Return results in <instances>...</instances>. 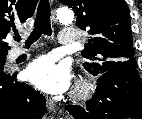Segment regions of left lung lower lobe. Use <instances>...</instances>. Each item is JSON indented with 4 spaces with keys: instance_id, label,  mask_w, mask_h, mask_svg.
Wrapping results in <instances>:
<instances>
[{
    "instance_id": "0a47b994",
    "label": "left lung lower lobe",
    "mask_w": 142,
    "mask_h": 119,
    "mask_svg": "<svg viewBox=\"0 0 142 119\" xmlns=\"http://www.w3.org/2000/svg\"><path fill=\"white\" fill-rule=\"evenodd\" d=\"M87 108L68 106L74 119H142V84L135 66H124L99 75Z\"/></svg>"
}]
</instances>
